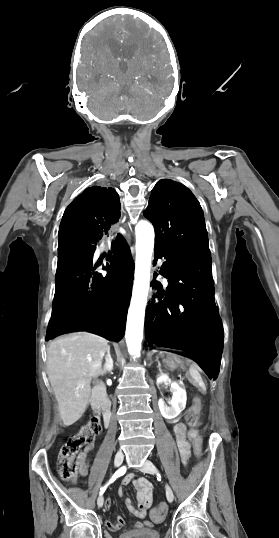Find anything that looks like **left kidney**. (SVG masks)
Instances as JSON below:
<instances>
[{"mask_svg": "<svg viewBox=\"0 0 279 538\" xmlns=\"http://www.w3.org/2000/svg\"><path fill=\"white\" fill-rule=\"evenodd\" d=\"M156 384L157 386H159V384H171V390H173L172 400L166 404L161 398L158 402V406L163 418H166V420H174V418L179 416L180 412L185 410L187 400L186 390L184 386H180V384H176V382H171L167 374H160L159 378L156 380Z\"/></svg>", "mask_w": 279, "mask_h": 538, "instance_id": "left-kidney-1", "label": "left kidney"}]
</instances>
